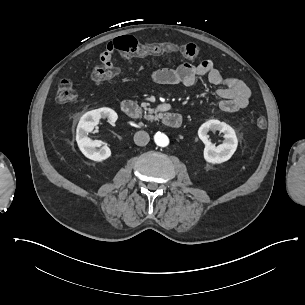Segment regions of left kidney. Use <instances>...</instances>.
<instances>
[{
    "label": "left kidney",
    "instance_id": "left-kidney-1",
    "mask_svg": "<svg viewBox=\"0 0 305 305\" xmlns=\"http://www.w3.org/2000/svg\"><path fill=\"white\" fill-rule=\"evenodd\" d=\"M210 130L224 133L225 140L222 144L215 146L210 142L207 135ZM198 136L205 144L204 158L209 163H222L229 160L237 148L238 140L234 129L219 120H208L202 124L198 130Z\"/></svg>",
    "mask_w": 305,
    "mask_h": 305
}]
</instances>
